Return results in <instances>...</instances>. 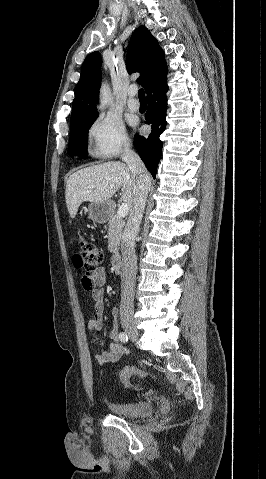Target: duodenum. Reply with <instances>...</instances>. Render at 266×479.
I'll return each mask as SVG.
<instances>
[{"label":"duodenum","instance_id":"1","mask_svg":"<svg viewBox=\"0 0 266 479\" xmlns=\"http://www.w3.org/2000/svg\"><path fill=\"white\" fill-rule=\"evenodd\" d=\"M111 264L113 272L116 274L119 273L122 268V257L118 254L112 256Z\"/></svg>","mask_w":266,"mask_h":479}]
</instances>
